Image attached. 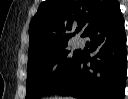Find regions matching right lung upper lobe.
I'll list each match as a JSON object with an SVG mask.
<instances>
[{"mask_svg": "<svg viewBox=\"0 0 128 99\" xmlns=\"http://www.w3.org/2000/svg\"><path fill=\"white\" fill-rule=\"evenodd\" d=\"M119 5L117 0H46L30 23L28 58L67 46L74 36L67 34L76 23L82 36Z\"/></svg>", "mask_w": 128, "mask_h": 99, "instance_id": "cb5924a9", "label": "right lung upper lobe"}]
</instances>
